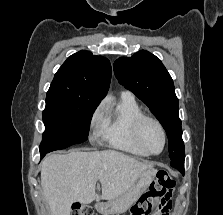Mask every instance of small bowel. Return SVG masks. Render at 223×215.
I'll list each match as a JSON object with an SVG mask.
<instances>
[{"label":"small bowel","instance_id":"small-bowel-1","mask_svg":"<svg viewBox=\"0 0 223 215\" xmlns=\"http://www.w3.org/2000/svg\"><path fill=\"white\" fill-rule=\"evenodd\" d=\"M161 202H163V204L166 205V211H165L164 215H169V210L171 207L170 195L165 197Z\"/></svg>","mask_w":223,"mask_h":215}]
</instances>
